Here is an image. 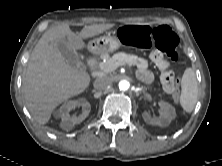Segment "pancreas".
Returning a JSON list of instances; mask_svg holds the SVG:
<instances>
[{"mask_svg": "<svg viewBox=\"0 0 222 166\" xmlns=\"http://www.w3.org/2000/svg\"><path fill=\"white\" fill-rule=\"evenodd\" d=\"M119 62L128 64L130 66H136L140 70H146L148 68V61L144 58L120 52L114 54L112 57H107L105 62H101L100 69L105 74L111 73L115 70L111 69V67L115 66Z\"/></svg>", "mask_w": 222, "mask_h": 166, "instance_id": "pancreas-1", "label": "pancreas"}]
</instances>
